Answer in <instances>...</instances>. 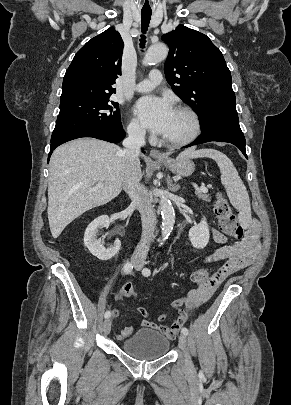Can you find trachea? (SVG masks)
Wrapping results in <instances>:
<instances>
[{
	"label": "trachea",
	"instance_id": "1",
	"mask_svg": "<svg viewBox=\"0 0 291 405\" xmlns=\"http://www.w3.org/2000/svg\"><path fill=\"white\" fill-rule=\"evenodd\" d=\"M151 14H152L151 11H141V26H142V33L143 34H145L146 31H147V28L149 26V22H150V19H151ZM140 42H141V48H144V45H145V42H146L144 35H141Z\"/></svg>",
	"mask_w": 291,
	"mask_h": 405
}]
</instances>
